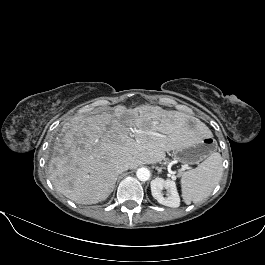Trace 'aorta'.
Here are the masks:
<instances>
[{
	"label": "aorta",
	"instance_id": "1",
	"mask_svg": "<svg viewBox=\"0 0 265 265\" xmlns=\"http://www.w3.org/2000/svg\"><path fill=\"white\" fill-rule=\"evenodd\" d=\"M150 171L147 168L141 167L137 170L136 176L140 181H147L150 178Z\"/></svg>",
	"mask_w": 265,
	"mask_h": 265
}]
</instances>
